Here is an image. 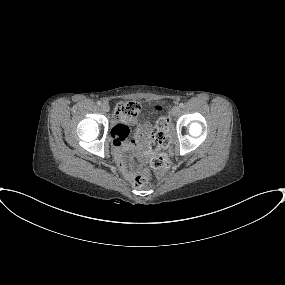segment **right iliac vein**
Masks as SVG:
<instances>
[{
  "instance_id": "right-iliac-vein-1",
  "label": "right iliac vein",
  "mask_w": 285,
  "mask_h": 285,
  "mask_svg": "<svg viewBox=\"0 0 285 285\" xmlns=\"http://www.w3.org/2000/svg\"><path fill=\"white\" fill-rule=\"evenodd\" d=\"M101 109L104 111V112H108L110 110V107L107 103H103L101 105Z\"/></svg>"
}]
</instances>
